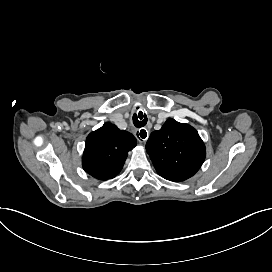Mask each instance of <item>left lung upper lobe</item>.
<instances>
[{
	"mask_svg": "<svg viewBox=\"0 0 272 272\" xmlns=\"http://www.w3.org/2000/svg\"><path fill=\"white\" fill-rule=\"evenodd\" d=\"M157 173L179 182L192 177L205 160L206 149L192 126L168 119L162 128L150 134L146 143Z\"/></svg>",
	"mask_w": 272,
	"mask_h": 272,
	"instance_id": "left-lung-upper-lobe-1",
	"label": "left lung upper lobe"
}]
</instances>
